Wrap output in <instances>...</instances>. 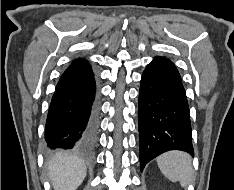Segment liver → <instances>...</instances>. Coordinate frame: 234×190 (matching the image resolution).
<instances>
[{"mask_svg": "<svg viewBox=\"0 0 234 190\" xmlns=\"http://www.w3.org/2000/svg\"><path fill=\"white\" fill-rule=\"evenodd\" d=\"M48 170L54 190H76L86 177L84 161L71 155L57 154Z\"/></svg>", "mask_w": 234, "mask_h": 190, "instance_id": "1", "label": "liver"}]
</instances>
